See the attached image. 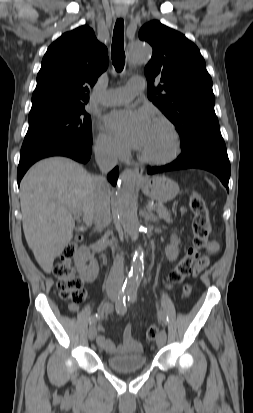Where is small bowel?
<instances>
[{
  "instance_id": "small-bowel-1",
  "label": "small bowel",
  "mask_w": 253,
  "mask_h": 413,
  "mask_svg": "<svg viewBox=\"0 0 253 413\" xmlns=\"http://www.w3.org/2000/svg\"><path fill=\"white\" fill-rule=\"evenodd\" d=\"M182 212L184 210L182 209ZM218 244L216 242H210L206 249V254L203 255L198 263L195 266L194 274H198L202 270H204L210 261V256L214 255L218 251ZM193 293V288L191 286V282L186 280L184 282L182 295L184 297H189ZM69 310L73 313L78 311V306L72 304L69 306ZM111 310L110 305H103L100 309V316H106ZM99 330L102 332L104 327L102 325L99 326ZM97 344L103 348L106 352L111 354H119L124 352H139L142 351V345L134 338L132 334L131 324H128L124 331L123 336V344L117 346L112 340L106 338L103 334L98 335L97 337Z\"/></svg>"
}]
</instances>
